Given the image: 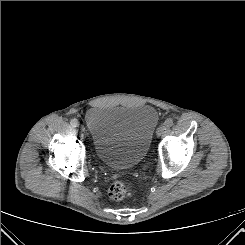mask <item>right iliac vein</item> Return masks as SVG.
Instances as JSON below:
<instances>
[{
	"label": "right iliac vein",
	"mask_w": 245,
	"mask_h": 245,
	"mask_svg": "<svg viewBox=\"0 0 245 245\" xmlns=\"http://www.w3.org/2000/svg\"><path fill=\"white\" fill-rule=\"evenodd\" d=\"M82 131H84L83 127H80Z\"/></svg>",
	"instance_id": "right-iliac-vein-1"
}]
</instances>
